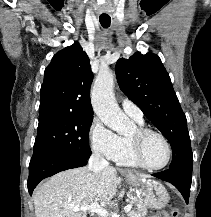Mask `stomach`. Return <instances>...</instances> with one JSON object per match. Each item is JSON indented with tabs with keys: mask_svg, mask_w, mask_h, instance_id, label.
I'll use <instances>...</instances> for the list:
<instances>
[{
	"mask_svg": "<svg viewBox=\"0 0 211 217\" xmlns=\"http://www.w3.org/2000/svg\"><path fill=\"white\" fill-rule=\"evenodd\" d=\"M126 176L134 187L140 189L146 207L161 209L169 202V194L160 182L140 179L130 173Z\"/></svg>",
	"mask_w": 211,
	"mask_h": 217,
	"instance_id": "1",
	"label": "stomach"
}]
</instances>
